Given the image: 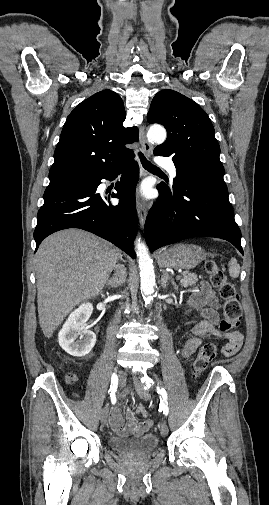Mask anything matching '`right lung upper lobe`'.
<instances>
[{"label":"right lung upper lobe","mask_w":269,"mask_h":505,"mask_svg":"<svg viewBox=\"0 0 269 505\" xmlns=\"http://www.w3.org/2000/svg\"><path fill=\"white\" fill-rule=\"evenodd\" d=\"M126 112L111 90L95 93L68 116L54 152L47 189L79 183L129 158L126 144L138 140L136 127H123Z\"/></svg>","instance_id":"right-lung-upper-lobe-1"}]
</instances>
